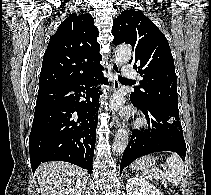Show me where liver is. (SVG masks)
Instances as JSON below:
<instances>
[{"mask_svg":"<svg viewBox=\"0 0 211 195\" xmlns=\"http://www.w3.org/2000/svg\"><path fill=\"white\" fill-rule=\"evenodd\" d=\"M41 195H81L87 184V172L73 164L52 161L36 170Z\"/></svg>","mask_w":211,"mask_h":195,"instance_id":"liver-1","label":"liver"}]
</instances>
